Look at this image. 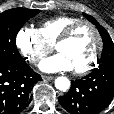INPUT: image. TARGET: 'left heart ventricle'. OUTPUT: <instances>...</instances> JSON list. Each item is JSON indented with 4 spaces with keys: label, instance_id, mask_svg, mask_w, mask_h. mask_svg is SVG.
I'll list each match as a JSON object with an SVG mask.
<instances>
[{
    "label": "left heart ventricle",
    "instance_id": "obj_1",
    "mask_svg": "<svg viewBox=\"0 0 114 114\" xmlns=\"http://www.w3.org/2000/svg\"><path fill=\"white\" fill-rule=\"evenodd\" d=\"M96 46L97 40L93 31L87 26H82L71 39L58 45L57 51L67 57L73 69H79L91 61Z\"/></svg>",
    "mask_w": 114,
    "mask_h": 114
}]
</instances>
